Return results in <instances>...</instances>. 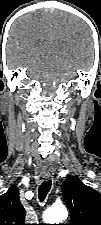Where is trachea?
<instances>
[{
  "instance_id": "3493384b",
  "label": "trachea",
  "mask_w": 101,
  "mask_h": 225,
  "mask_svg": "<svg viewBox=\"0 0 101 225\" xmlns=\"http://www.w3.org/2000/svg\"><path fill=\"white\" fill-rule=\"evenodd\" d=\"M52 181L51 180H45L41 183V185L38 188V198L41 202L44 201L46 198L48 192L51 189Z\"/></svg>"
}]
</instances>
